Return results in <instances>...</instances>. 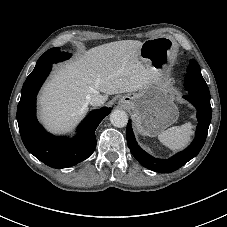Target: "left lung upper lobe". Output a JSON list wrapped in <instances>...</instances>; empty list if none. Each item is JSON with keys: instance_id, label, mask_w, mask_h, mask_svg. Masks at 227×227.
<instances>
[{"instance_id": "5c2ea615", "label": "left lung upper lobe", "mask_w": 227, "mask_h": 227, "mask_svg": "<svg viewBox=\"0 0 227 227\" xmlns=\"http://www.w3.org/2000/svg\"><path fill=\"white\" fill-rule=\"evenodd\" d=\"M184 86L189 94L210 99L209 88L201 75L199 65L194 59L190 60Z\"/></svg>"}]
</instances>
